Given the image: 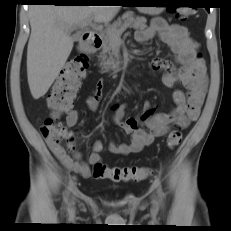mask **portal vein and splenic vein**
I'll list each match as a JSON object with an SVG mask.
<instances>
[{"label":"portal vein and splenic vein","mask_w":231,"mask_h":231,"mask_svg":"<svg viewBox=\"0 0 231 231\" xmlns=\"http://www.w3.org/2000/svg\"><path fill=\"white\" fill-rule=\"evenodd\" d=\"M91 24H92V21H91V20H87V21L83 22V23L80 25V27H81V28H84V27H86V26H88V25H91ZM129 25H130V23L124 24L118 31H116L115 33L112 34L113 38H114L115 40L120 39L121 34H122L124 31H126V29L128 28Z\"/></svg>","instance_id":"portal-vein-and-splenic-vein-1"}]
</instances>
